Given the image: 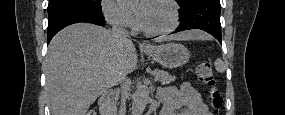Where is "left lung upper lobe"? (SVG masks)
Returning a JSON list of instances; mask_svg holds the SVG:
<instances>
[{"instance_id": "left-lung-upper-lobe-1", "label": "left lung upper lobe", "mask_w": 285, "mask_h": 115, "mask_svg": "<svg viewBox=\"0 0 285 115\" xmlns=\"http://www.w3.org/2000/svg\"><path fill=\"white\" fill-rule=\"evenodd\" d=\"M178 4L180 5V8L183 9L189 2L192 0H176Z\"/></svg>"}]
</instances>
